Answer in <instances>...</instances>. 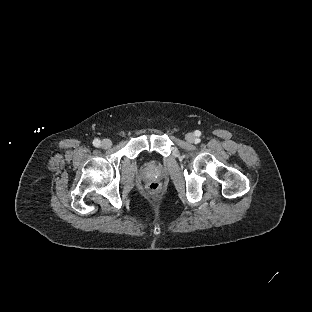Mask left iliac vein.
<instances>
[{
  "label": "left iliac vein",
  "instance_id": "left-iliac-vein-1",
  "mask_svg": "<svg viewBox=\"0 0 312 312\" xmlns=\"http://www.w3.org/2000/svg\"><path fill=\"white\" fill-rule=\"evenodd\" d=\"M186 140L190 143H192L195 140V135L193 133H188L186 135Z\"/></svg>",
  "mask_w": 312,
  "mask_h": 312
}]
</instances>
